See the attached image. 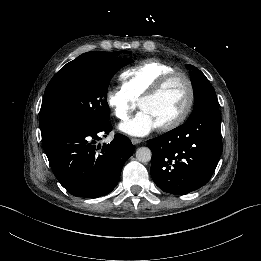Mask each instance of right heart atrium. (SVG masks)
<instances>
[{"label":"right heart atrium","instance_id":"d8ad5b80","mask_svg":"<svg viewBox=\"0 0 261 261\" xmlns=\"http://www.w3.org/2000/svg\"><path fill=\"white\" fill-rule=\"evenodd\" d=\"M107 106L120 121H127L137 107V102L121 88L109 90L105 96Z\"/></svg>","mask_w":261,"mask_h":261}]
</instances>
